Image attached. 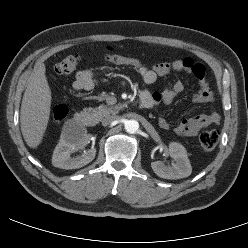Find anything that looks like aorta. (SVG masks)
I'll return each instance as SVG.
<instances>
[{"label": "aorta", "instance_id": "obj_1", "mask_svg": "<svg viewBox=\"0 0 248 248\" xmlns=\"http://www.w3.org/2000/svg\"><path fill=\"white\" fill-rule=\"evenodd\" d=\"M125 130L130 134H134L139 130V123L133 119L128 120L125 123Z\"/></svg>", "mask_w": 248, "mask_h": 248}]
</instances>
